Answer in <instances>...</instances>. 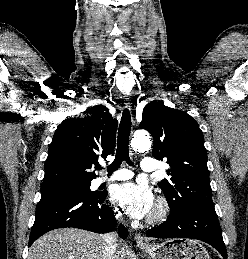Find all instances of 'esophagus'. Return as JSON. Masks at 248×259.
Segmentation results:
<instances>
[{"instance_id":"esophagus-1","label":"esophagus","mask_w":248,"mask_h":259,"mask_svg":"<svg viewBox=\"0 0 248 259\" xmlns=\"http://www.w3.org/2000/svg\"><path fill=\"white\" fill-rule=\"evenodd\" d=\"M124 104L127 108H131V97L130 96H125L124 97ZM134 240L137 244H147L148 241L147 239H145L141 234L139 233H136L135 236H134Z\"/></svg>"}]
</instances>
